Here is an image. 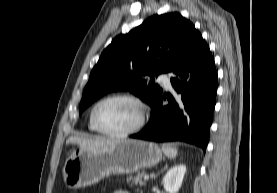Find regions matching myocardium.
Instances as JSON below:
<instances>
[{"label": "myocardium", "mask_w": 277, "mask_h": 193, "mask_svg": "<svg viewBox=\"0 0 277 193\" xmlns=\"http://www.w3.org/2000/svg\"><path fill=\"white\" fill-rule=\"evenodd\" d=\"M116 99H124V100H129L133 103H135L139 108H140V118L139 121L135 126H133L130 129L120 131V132H111L103 129L97 122L96 120V111L98 107L103 104L104 102L110 101V100H116ZM149 116V107L147 103L141 99L140 97L129 94V93H118V94H113L106 96L99 101H97L94 106L91 109L90 112V120L94 128L97 130V132L110 136V137H117V138H123V137H128L130 135H133L137 132H139L146 124Z\"/></svg>", "instance_id": "f54148a6"}]
</instances>
